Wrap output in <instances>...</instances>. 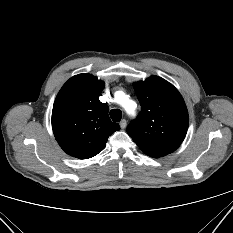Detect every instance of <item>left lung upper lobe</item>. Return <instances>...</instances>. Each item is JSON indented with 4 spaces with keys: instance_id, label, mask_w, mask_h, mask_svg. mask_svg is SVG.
Here are the masks:
<instances>
[{
    "instance_id": "left-lung-upper-lobe-1",
    "label": "left lung upper lobe",
    "mask_w": 233,
    "mask_h": 233,
    "mask_svg": "<svg viewBox=\"0 0 233 233\" xmlns=\"http://www.w3.org/2000/svg\"><path fill=\"white\" fill-rule=\"evenodd\" d=\"M141 115L127 127V133L151 157L175 151L185 138L188 112L178 90L158 76L134 83Z\"/></svg>"
}]
</instances>
